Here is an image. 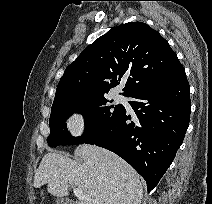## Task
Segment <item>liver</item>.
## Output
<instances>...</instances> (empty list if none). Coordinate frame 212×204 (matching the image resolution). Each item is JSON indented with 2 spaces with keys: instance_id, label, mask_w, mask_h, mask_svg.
Masks as SVG:
<instances>
[{
  "instance_id": "obj_1",
  "label": "liver",
  "mask_w": 212,
  "mask_h": 204,
  "mask_svg": "<svg viewBox=\"0 0 212 204\" xmlns=\"http://www.w3.org/2000/svg\"><path fill=\"white\" fill-rule=\"evenodd\" d=\"M75 155H44L34 176V186L63 197L70 185L82 189L84 198L74 204H140L143 187L138 173L116 154L95 145H81Z\"/></svg>"
}]
</instances>
